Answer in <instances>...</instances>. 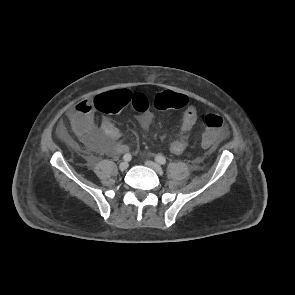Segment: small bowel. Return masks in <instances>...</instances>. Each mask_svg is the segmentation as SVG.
Instances as JSON below:
<instances>
[{"instance_id": "c3829d8e", "label": "small bowel", "mask_w": 295, "mask_h": 295, "mask_svg": "<svg viewBox=\"0 0 295 295\" xmlns=\"http://www.w3.org/2000/svg\"><path fill=\"white\" fill-rule=\"evenodd\" d=\"M187 100L183 108L179 133L169 146L170 152L174 155L188 154L189 143L197 123V108L188 97ZM68 116L77 136L92 151L108 155L129 151V145L123 141L120 131L111 120L103 118L98 126L95 124L92 100L79 102ZM139 121L146 131H149L153 125V117L148 113H142Z\"/></svg>"}]
</instances>
